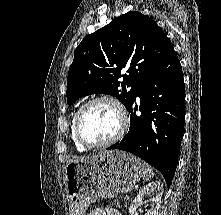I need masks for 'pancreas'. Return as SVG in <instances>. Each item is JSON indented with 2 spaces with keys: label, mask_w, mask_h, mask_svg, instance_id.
I'll use <instances>...</instances> for the list:
<instances>
[{
  "label": "pancreas",
  "mask_w": 221,
  "mask_h": 215,
  "mask_svg": "<svg viewBox=\"0 0 221 215\" xmlns=\"http://www.w3.org/2000/svg\"><path fill=\"white\" fill-rule=\"evenodd\" d=\"M121 200H122V199H121L120 197H116V198H115L114 203L116 204L117 207H120V206H121Z\"/></svg>",
  "instance_id": "1"
}]
</instances>
